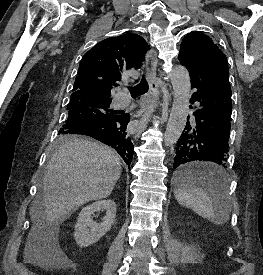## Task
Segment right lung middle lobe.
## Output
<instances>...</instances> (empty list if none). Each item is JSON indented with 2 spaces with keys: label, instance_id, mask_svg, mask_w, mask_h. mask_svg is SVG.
<instances>
[{
  "label": "right lung middle lobe",
  "instance_id": "1",
  "mask_svg": "<svg viewBox=\"0 0 263 275\" xmlns=\"http://www.w3.org/2000/svg\"><path fill=\"white\" fill-rule=\"evenodd\" d=\"M110 103L111 98L100 97L94 94H80L70 97L68 118L63 128L59 131L57 142L69 141L70 134H66L65 131L79 123L103 120L114 116L115 111L109 109Z\"/></svg>",
  "mask_w": 263,
  "mask_h": 275
}]
</instances>
